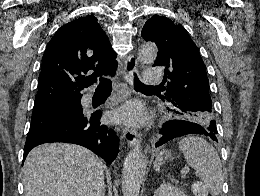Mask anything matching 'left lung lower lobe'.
Returning <instances> with one entry per match:
<instances>
[{
  "label": "left lung lower lobe",
  "mask_w": 260,
  "mask_h": 196,
  "mask_svg": "<svg viewBox=\"0 0 260 196\" xmlns=\"http://www.w3.org/2000/svg\"><path fill=\"white\" fill-rule=\"evenodd\" d=\"M160 133L162 134V137L155 144L156 147L172 140L175 137H180L187 134H204L218 142L216 137V122H212L207 127H204L198 123L186 120H171L164 124V127L160 129Z\"/></svg>",
  "instance_id": "left-lung-lower-lobe-1"
}]
</instances>
